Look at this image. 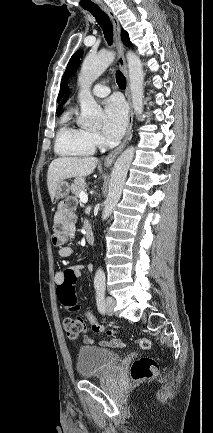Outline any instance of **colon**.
<instances>
[{
	"instance_id": "1",
	"label": "colon",
	"mask_w": 213,
	"mask_h": 433,
	"mask_svg": "<svg viewBox=\"0 0 213 433\" xmlns=\"http://www.w3.org/2000/svg\"><path fill=\"white\" fill-rule=\"evenodd\" d=\"M77 281V276L72 269L64 270V283L58 288V297L61 303L67 308L69 315L63 320V327L70 338H77L84 330V322L80 315V307L77 305L74 285ZM85 318L91 324L94 332H105L108 335H114L115 331L106 328L97 318L86 312ZM142 349H150L151 341L147 338L137 340ZM131 377L135 381H142L154 377L158 373L157 362L150 357H141L135 360L130 369Z\"/></svg>"
}]
</instances>
